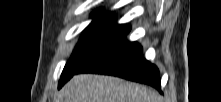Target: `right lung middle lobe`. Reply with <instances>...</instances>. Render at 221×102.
Here are the masks:
<instances>
[{
  "instance_id": "1",
  "label": "right lung middle lobe",
  "mask_w": 221,
  "mask_h": 102,
  "mask_svg": "<svg viewBox=\"0 0 221 102\" xmlns=\"http://www.w3.org/2000/svg\"><path fill=\"white\" fill-rule=\"evenodd\" d=\"M99 11H94L93 15ZM129 30L125 25L116 24V17L110 12L95 17L85 29L80 43L65 65L61 79L73 74Z\"/></svg>"
}]
</instances>
